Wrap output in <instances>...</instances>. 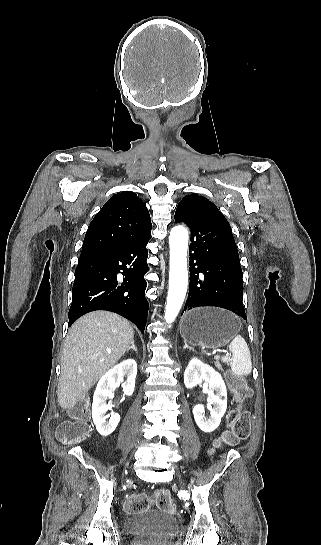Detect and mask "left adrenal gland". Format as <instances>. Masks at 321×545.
<instances>
[{
	"mask_svg": "<svg viewBox=\"0 0 321 545\" xmlns=\"http://www.w3.org/2000/svg\"><path fill=\"white\" fill-rule=\"evenodd\" d=\"M183 349H190V351H193L192 347H188L187 343H185Z\"/></svg>",
	"mask_w": 321,
	"mask_h": 545,
	"instance_id": "a2214340",
	"label": "left adrenal gland"
}]
</instances>
